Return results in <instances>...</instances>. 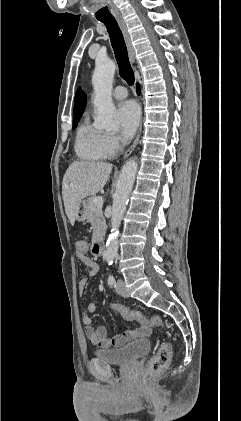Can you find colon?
<instances>
[{
	"mask_svg": "<svg viewBox=\"0 0 241 421\" xmlns=\"http://www.w3.org/2000/svg\"><path fill=\"white\" fill-rule=\"evenodd\" d=\"M92 251V247L89 242L86 240H79L76 243V252L79 255H87ZM111 308L119 313L126 320H135L142 324H147L149 326L158 327L165 329V324L163 319L159 315H154L150 318H147L142 313L134 310H130L125 306L117 303L111 304ZM172 356V346L169 342H162L156 353L150 358L147 364V374L152 377L161 373L169 364Z\"/></svg>",
	"mask_w": 241,
	"mask_h": 421,
	"instance_id": "obj_1",
	"label": "colon"
}]
</instances>
